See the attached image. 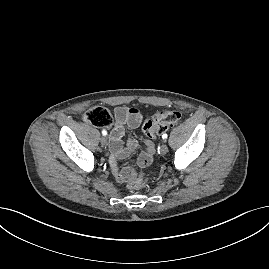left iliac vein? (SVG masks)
Segmentation results:
<instances>
[{"label": "left iliac vein", "instance_id": "left-iliac-vein-1", "mask_svg": "<svg viewBox=\"0 0 269 269\" xmlns=\"http://www.w3.org/2000/svg\"><path fill=\"white\" fill-rule=\"evenodd\" d=\"M159 150L162 155H165L168 152V146L166 143H162Z\"/></svg>", "mask_w": 269, "mask_h": 269}]
</instances>
